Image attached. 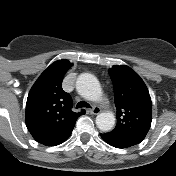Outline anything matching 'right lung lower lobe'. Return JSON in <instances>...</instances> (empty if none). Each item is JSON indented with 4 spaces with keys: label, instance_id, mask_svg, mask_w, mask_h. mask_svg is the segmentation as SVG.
<instances>
[{
    "label": "right lung lower lobe",
    "instance_id": "obj_1",
    "mask_svg": "<svg viewBox=\"0 0 176 176\" xmlns=\"http://www.w3.org/2000/svg\"><path fill=\"white\" fill-rule=\"evenodd\" d=\"M68 136H69V135H68ZM68 136H66L62 141H60V143L63 142Z\"/></svg>",
    "mask_w": 176,
    "mask_h": 176
}]
</instances>
